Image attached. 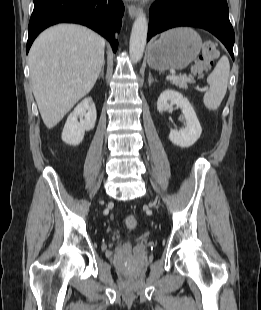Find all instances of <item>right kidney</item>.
I'll list each match as a JSON object with an SVG mask.
<instances>
[{
  "label": "right kidney",
  "mask_w": 261,
  "mask_h": 310,
  "mask_svg": "<svg viewBox=\"0 0 261 310\" xmlns=\"http://www.w3.org/2000/svg\"><path fill=\"white\" fill-rule=\"evenodd\" d=\"M96 118L94 102L91 97H87L68 116L62 132V140L69 145H79L84 138L85 131L94 128Z\"/></svg>",
  "instance_id": "right-kidney-1"
}]
</instances>
